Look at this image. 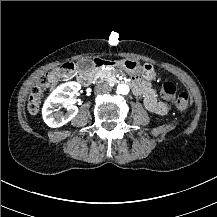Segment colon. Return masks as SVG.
Returning <instances> with one entry per match:
<instances>
[{"instance_id": "5ec220e1", "label": "colon", "mask_w": 217, "mask_h": 217, "mask_svg": "<svg viewBox=\"0 0 217 217\" xmlns=\"http://www.w3.org/2000/svg\"><path fill=\"white\" fill-rule=\"evenodd\" d=\"M78 69V64L75 61L68 62L65 66L54 67L51 70V75L55 79H61L67 77ZM162 94L174 99V106L179 111H185L190 106V97L187 93H177V86L173 82H165L161 88ZM42 89L39 86H35L28 98L27 109L29 113L36 114L39 110V103L41 98Z\"/></svg>"}]
</instances>
